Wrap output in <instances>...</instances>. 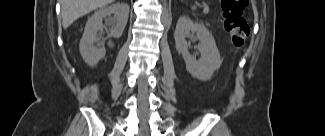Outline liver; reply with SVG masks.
Wrapping results in <instances>:
<instances>
[{
  "label": "liver",
  "mask_w": 325,
  "mask_h": 136,
  "mask_svg": "<svg viewBox=\"0 0 325 136\" xmlns=\"http://www.w3.org/2000/svg\"><path fill=\"white\" fill-rule=\"evenodd\" d=\"M114 0H60L63 28L67 29L75 20L104 7Z\"/></svg>",
  "instance_id": "liver-1"
}]
</instances>
